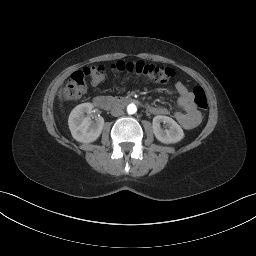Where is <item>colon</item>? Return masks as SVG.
Listing matches in <instances>:
<instances>
[{"label":"colon","mask_w":256,"mask_h":256,"mask_svg":"<svg viewBox=\"0 0 256 256\" xmlns=\"http://www.w3.org/2000/svg\"><path fill=\"white\" fill-rule=\"evenodd\" d=\"M112 69L162 83L168 82L174 77V71L170 67L150 64L144 61H120L112 65ZM104 74L105 68L103 66H91L73 72L63 89V98L69 101L80 99L86 91L87 81L99 83L103 79ZM192 94L195 106L200 110L207 109L208 101L204 89L201 86H196Z\"/></svg>","instance_id":"5ec220e1"}]
</instances>
